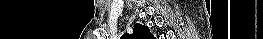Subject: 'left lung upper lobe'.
I'll use <instances>...</instances> for the list:
<instances>
[{
	"label": "left lung upper lobe",
	"mask_w": 263,
	"mask_h": 39,
	"mask_svg": "<svg viewBox=\"0 0 263 39\" xmlns=\"http://www.w3.org/2000/svg\"><path fill=\"white\" fill-rule=\"evenodd\" d=\"M122 39H154L152 34L150 33L148 27H145L140 24H135L133 29V34L125 33L122 36Z\"/></svg>",
	"instance_id": "5c2ea615"
}]
</instances>
